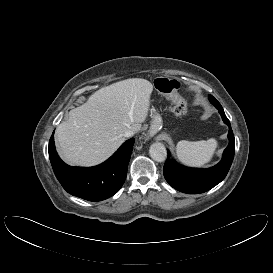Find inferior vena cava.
I'll return each mask as SVG.
<instances>
[{"instance_id": "inferior-vena-cava-1", "label": "inferior vena cava", "mask_w": 273, "mask_h": 273, "mask_svg": "<svg viewBox=\"0 0 273 273\" xmlns=\"http://www.w3.org/2000/svg\"><path fill=\"white\" fill-rule=\"evenodd\" d=\"M135 134V131L132 129H128L126 130V132L124 133V137H132Z\"/></svg>"}]
</instances>
